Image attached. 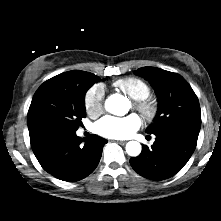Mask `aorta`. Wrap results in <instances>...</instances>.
Returning a JSON list of instances; mask_svg holds the SVG:
<instances>
[{
	"label": "aorta",
	"mask_w": 221,
	"mask_h": 221,
	"mask_svg": "<svg viewBox=\"0 0 221 221\" xmlns=\"http://www.w3.org/2000/svg\"><path fill=\"white\" fill-rule=\"evenodd\" d=\"M129 106L128 100L120 94H113L106 99L105 108L108 112L116 115L123 114L120 111L121 107L127 109ZM141 144L137 141H129L126 144V152L132 157H136L141 153Z\"/></svg>",
	"instance_id": "aorta-1"
}]
</instances>
